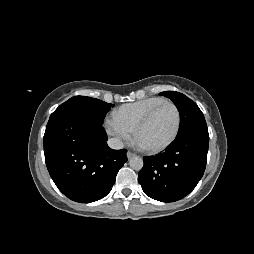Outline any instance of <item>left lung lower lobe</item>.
Instances as JSON below:
<instances>
[{
  "instance_id": "1",
  "label": "left lung lower lobe",
  "mask_w": 254,
  "mask_h": 254,
  "mask_svg": "<svg viewBox=\"0 0 254 254\" xmlns=\"http://www.w3.org/2000/svg\"><path fill=\"white\" fill-rule=\"evenodd\" d=\"M208 145V130H196L178 136L165 152L144 157L138 181L145 194L161 202L187 196L204 174Z\"/></svg>"
}]
</instances>
